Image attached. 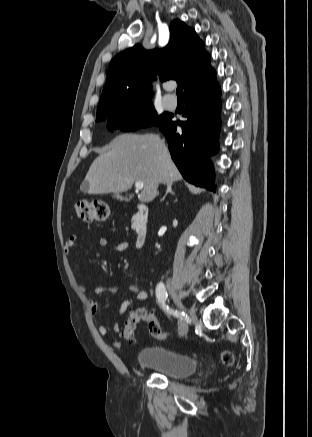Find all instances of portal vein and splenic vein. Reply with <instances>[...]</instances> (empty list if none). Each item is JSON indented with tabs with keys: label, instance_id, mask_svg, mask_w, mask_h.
<instances>
[{
	"label": "portal vein and splenic vein",
	"instance_id": "18ae733b",
	"mask_svg": "<svg viewBox=\"0 0 312 437\" xmlns=\"http://www.w3.org/2000/svg\"><path fill=\"white\" fill-rule=\"evenodd\" d=\"M135 187L137 190H142L144 187V184L141 181H137V182H135Z\"/></svg>",
	"mask_w": 312,
	"mask_h": 437
}]
</instances>
